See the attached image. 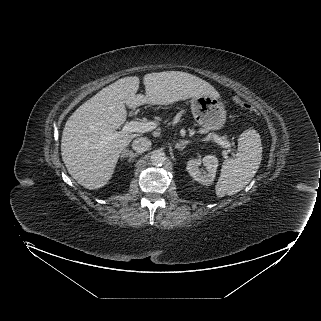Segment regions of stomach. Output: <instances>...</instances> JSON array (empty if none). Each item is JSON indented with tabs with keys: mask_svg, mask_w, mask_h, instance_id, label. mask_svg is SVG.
Returning <instances> with one entry per match:
<instances>
[{
	"mask_svg": "<svg viewBox=\"0 0 321 321\" xmlns=\"http://www.w3.org/2000/svg\"><path fill=\"white\" fill-rule=\"evenodd\" d=\"M191 110L195 120L207 130H218L226 121L225 106L216 96L193 97Z\"/></svg>",
	"mask_w": 321,
	"mask_h": 321,
	"instance_id": "1",
	"label": "stomach"
}]
</instances>
